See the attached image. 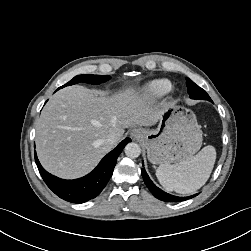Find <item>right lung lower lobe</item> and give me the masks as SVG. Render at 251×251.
I'll return each instance as SVG.
<instances>
[{"instance_id": "98d812e1", "label": "right lung lower lobe", "mask_w": 251, "mask_h": 251, "mask_svg": "<svg viewBox=\"0 0 251 251\" xmlns=\"http://www.w3.org/2000/svg\"><path fill=\"white\" fill-rule=\"evenodd\" d=\"M130 141V138L124 139L100 161L91 173L75 180L60 179L48 173L39 163L36 152L35 162L44 182L57 196L80 204L95 198L104 189L113 173L117 157Z\"/></svg>"}]
</instances>
